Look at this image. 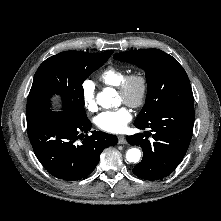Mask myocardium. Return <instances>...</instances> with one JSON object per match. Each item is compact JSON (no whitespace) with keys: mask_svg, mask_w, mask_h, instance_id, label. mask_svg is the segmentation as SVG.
Wrapping results in <instances>:
<instances>
[{"mask_svg":"<svg viewBox=\"0 0 221 221\" xmlns=\"http://www.w3.org/2000/svg\"><path fill=\"white\" fill-rule=\"evenodd\" d=\"M149 83L142 72H133L125 76L118 87L123 101L133 108L141 107L148 96Z\"/></svg>","mask_w":221,"mask_h":221,"instance_id":"myocardium-1","label":"myocardium"}]
</instances>
